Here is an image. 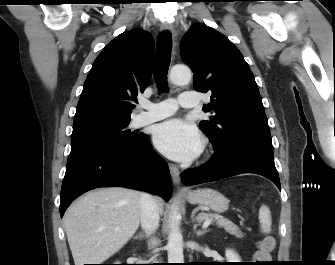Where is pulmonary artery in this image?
Returning <instances> with one entry per match:
<instances>
[{"label": "pulmonary artery", "instance_id": "obj_1", "mask_svg": "<svg viewBox=\"0 0 335 265\" xmlns=\"http://www.w3.org/2000/svg\"><path fill=\"white\" fill-rule=\"evenodd\" d=\"M198 105V96L195 92H182L178 99H165L161 102H143L141 107L145 110L135 117V125L143 126L173 115L179 107L194 108Z\"/></svg>", "mask_w": 335, "mask_h": 265}]
</instances>
